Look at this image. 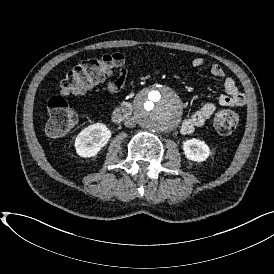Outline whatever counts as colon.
Listing matches in <instances>:
<instances>
[{
	"label": "colon",
	"instance_id": "1",
	"mask_svg": "<svg viewBox=\"0 0 274 274\" xmlns=\"http://www.w3.org/2000/svg\"><path fill=\"white\" fill-rule=\"evenodd\" d=\"M127 63L124 55L119 53L105 54L89 58L75 65L60 82V93L51 96L47 101L49 120L46 126L50 138H58L69 132L77 122V113L67 103V95L71 91L95 80L101 73H108L111 77L122 72ZM123 73H125L123 71ZM239 118L236 112L220 109L213 117V128L222 136L232 134L238 127Z\"/></svg>",
	"mask_w": 274,
	"mask_h": 274
}]
</instances>
